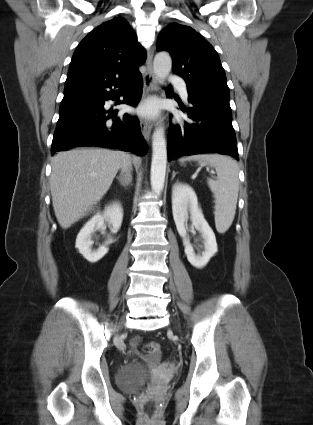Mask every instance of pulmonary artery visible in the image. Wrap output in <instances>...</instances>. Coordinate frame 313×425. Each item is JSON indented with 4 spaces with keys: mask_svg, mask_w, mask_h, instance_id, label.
<instances>
[{
    "mask_svg": "<svg viewBox=\"0 0 313 425\" xmlns=\"http://www.w3.org/2000/svg\"><path fill=\"white\" fill-rule=\"evenodd\" d=\"M170 83L178 85L180 87V94L184 99L188 98V92L186 87L183 85L182 80L177 76L170 77Z\"/></svg>",
    "mask_w": 313,
    "mask_h": 425,
    "instance_id": "e3ab8cb5",
    "label": "pulmonary artery"
}]
</instances>
